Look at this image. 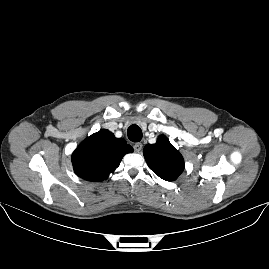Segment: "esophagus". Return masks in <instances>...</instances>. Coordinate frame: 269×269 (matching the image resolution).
Returning a JSON list of instances; mask_svg holds the SVG:
<instances>
[{
    "mask_svg": "<svg viewBox=\"0 0 269 269\" xmlns=\"http://www.w3.org/2000/svg\"><path fill=\"white\" fill-rule=\"evenodd\" d=\"M142 148H143V144L140 142L135 143L133 146L134 152H136V153H139Z\"/></svg>",
    "mask_w": 269,
    "mask_h": 269,
    "instance_id": "1",
    "label": "esophagus"
}]
</instances>
